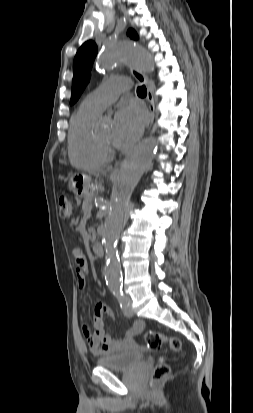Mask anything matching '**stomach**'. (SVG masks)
Listing matches in <instances>:
<instances>
[{
    "label": "stomach",
    "instance_id": "obj_1",
    "mask_svg": "<svg viewBox=\"0 0 253 413\" xmlns=\"http://www.w3.org/2000/svg\"><path fill=\"white\" fill-rule=\"evenodd\" d=\"M68 188L78 197L87 196L91 188V178L86 174H73L69 178Z\"/></svg>",
    "mask_w": 253,
    "mask_h": 413
}]
</instances>
